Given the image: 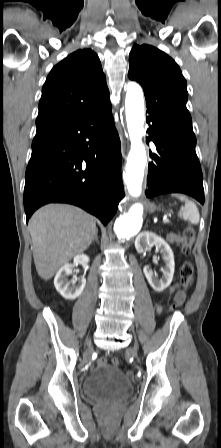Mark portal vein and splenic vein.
<instances>
[{
  "mask_svg": "<svg viewBox=\"0 0 221 448\" xmlns=\"http://www.w3.org/2000/svg\"><path fill=\"white\" fill-rule=\"evenodd\" d=\"M163 223H164V224L169 223V219H168L167 217H164V218H163Z\"/></svg>",
  "mask_w": 221,
  "mask_h": 448,
  "instance_id": "1",
  "label": "portal vein and splenic vein"
}]
</instances>
